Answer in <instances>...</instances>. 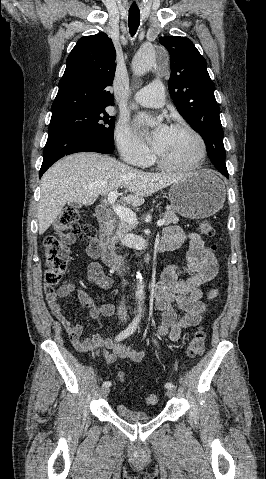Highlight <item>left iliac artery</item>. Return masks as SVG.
I'll list each match as a JSON object with an SVG mask.
<instances>
[{"instance_id":"obj_1","label":"left iliac artery","mask_w":266,"mask_h":479,"mask_svg":"<svg viewBox=\"0 0 266 479\" xmlns=\"http://www.w3.org/2000/svg\"><path fill=\"white\" fill-rule=\"evenodd\" d=\"M154 342H155V344L157 345V342H156L155 340H154ZM165 387H166L167 389H170V388H173L174 385H173V383L168 382V383L165 384Z\"/></svg>"}]
</instances>
